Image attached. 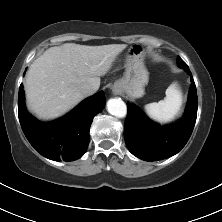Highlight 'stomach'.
<instances>
[{"label":"stomach","instance_id":"stomach-1","mask_svg":"<svg viewBox=\"0 0 222 222\" xmlns=\"http://www.w3.org/2000/svg\"><path fill=\"white\" fill-rule=\"evenodd\" d=\"M125 68L124 76L114 83L113 88L132 98L142 97L149 72L144 65V51L140 45L136 44L128 49Z\"/></svg>","mask_w":222,"mask_h":222}]
</instances>
